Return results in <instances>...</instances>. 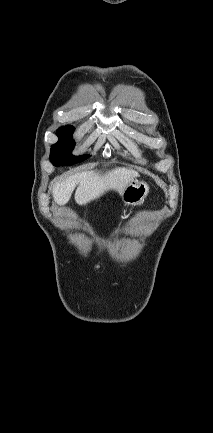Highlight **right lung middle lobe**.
<instances>
[{"label":"right lung middle lobe","mask_w":213,"mask_h":433,"mask_svg":"<svg viewBox=\"0 0 213 433\" xmlns=\"http://www.w3.org/2000/svg\"><path fill=\"white\" fill-rule=\"evenodd\" d=\"M74 130L75 128L71 125L60 127L57 130L59 141L52 145L50 150V160L53 165H73L89 157L87 155L79 157H74L71 155L75 145L74 140L72 139Z\"/></svg>","instance_id":"right-lung-middle-lobe-1"}]
</instances>
